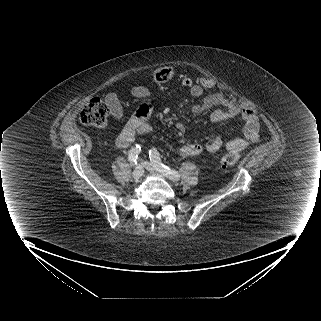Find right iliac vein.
Segmentation results:
<instances>
[{"instance_id": "obj_1", "label": "right iliac vein", "mask_w": 321, "mask_h": 321, "mask_svg": "<svg viewBox=\"0 0 321 321\" xmlns=\"http://www.w3.org/2000/svg\"><path fill=\"white\" fill-rule=\"evenodd\" d=\"M144 170L141 165L135 167L132 176L135 180L140 179L143 176Z\"/></svg>"}]
</instances>
